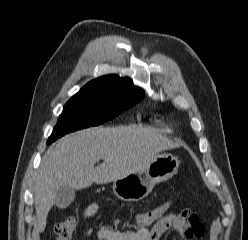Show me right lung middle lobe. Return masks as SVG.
Wrapping results in <instances>:
<instances>
[{
  "instance_id": "obj_1",
  "label": "right lung middle lobe",
  "mask_w": 248,
  "mask_h": 240,
  "mask_svg": "<svg viewBox=\"0 0 248 240\" xmlns=\"http://www.w3.org/2000/svg\"><path fill=\"white\" fill-rule=\"evenodd\" d=\"M143 96L144 90L134 87L132 82L108 90H80L64 106L47 144L67 133L111 120Z\"/></svg>"
}]
</instances>
